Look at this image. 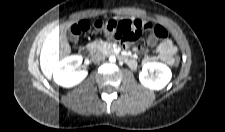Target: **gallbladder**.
Returning <instances> with one entry per match:
<instances>
[{
  "instance_id": "obj_1",
  "label": "gallbladder",
  "mask_w": 225,
  "mask_h": 132,
  "mask_svg": "<svg viewBox=\"0 0 225 132\" xmlns=\"http://www.w3.org/2000/svg\"><path fill=\"white\" fill-rule=\"evenodd\" d=\"M66 34H67V37L69 38V40L71 42L76 43V42L79 41V36L78 35H75L74 33H72V31L70 29L67 30V33Z\"/></svg>"
}]
</instances>
